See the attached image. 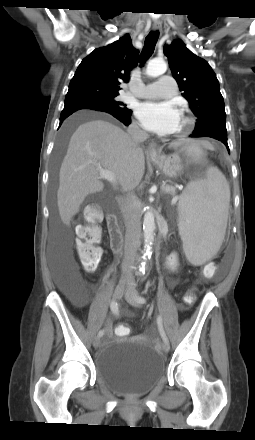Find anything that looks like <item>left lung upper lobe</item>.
Returning a JSON list of instances; mask_svg holds the SVG:
<instances>
[{
    "label": "left lung upper lobe",
    "mask_w": 255,
    "mask_h": 440,
    "mask_svg": "<svg viewBox=\"0 0 255 440\" xmlns=\"http://www.w3.org/2000/svg\"><path fill=\"white\" fill-rule=\"evenodd\" d=\"M164 54L182 96L197 117L194 132L218 130L227 133L219 81L208 62L193 54L181 40L165 45Z\"/></svg>",
    "instance_id": "obj_1"
}]
</instances>
